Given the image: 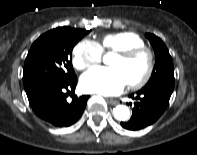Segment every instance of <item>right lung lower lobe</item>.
Wrapping results in <instances>:
<instances>
[{
  "mask_svg": "<svg viewBox=\"0 0 197 155\" xmlns=\"http://www.w3.org/2000/svg\"><path fill=\"white\" fill-rule=\"evenodd\" d=\"M77 77L70 78L59 86L50 87L29 100L35 114L56 127H68L82 115L89 96H74L71 103L68 94L75 91Z\"/></svg>",
  "mask_w": 197,
  "mask_h": 155,
  "instance_id": "1",
  "label": "right lung lower lobe"
}]
</instances>
